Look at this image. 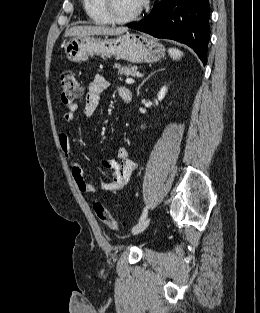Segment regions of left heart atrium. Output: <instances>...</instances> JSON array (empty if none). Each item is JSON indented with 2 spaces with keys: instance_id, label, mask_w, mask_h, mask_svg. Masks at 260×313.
Returning a JSON list of instances; mask_svg holds the SVG:
<instances>
[{
  "instance_id": "1",
  "label": "left heart atrium",
  "mask_w": 260,
  "mask_h": 313,
  "mask_svg": "<svg viewBox=\"0 0 260 313\" xmlns=\"http://www.w3.org/2000/svg\"><path fill=\"white\" fill-rule=\"evenodd\" d=\"M145 0H140V2L142 3V2H144Z\"/></svg>"
}]
</instances>
